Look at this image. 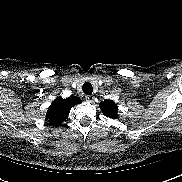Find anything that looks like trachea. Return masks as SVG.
Returning a JSON list of instances; mask_svg holds the SVG:
<instances>
[{
    "instance_id": "trachea-1",
    "label": "trachea",
    "mask_w": 182,
    "mask_h": 182,
    "mask_svg": "<svg viewBox=\"0 0 182 182\" xmlns=\"http://www.w3.org/2000/svg\"><path fill=\"white\" fill-rule=\"evenodd\" d=\"M82 90L85 94H92V91H93V87H92V84L90 82H85L82 86Z\"/></svg>"
}]
</instances>
